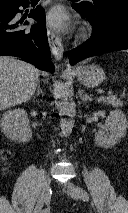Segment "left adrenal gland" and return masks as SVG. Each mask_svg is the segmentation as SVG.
<instances>
[{"mask_svg": "<svg viewBox=\"0 0 128 213\" xmlns=\"http://www.w3.org/2000/svg\"><path fill=\"white\" fill-rule=\"evenodd\" d=\"M79 95H80V98L83 102L88 101V100L92 101V98L89 95L84 94L83 90H79Z\"/></svg>", "mask_w": 128, "mask_h": 213, "instance_id": "obj_1", "label": "left adrenal gland"}]
</instances>
